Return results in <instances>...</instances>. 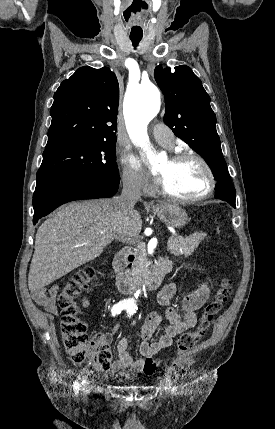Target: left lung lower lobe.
Instances as JSON below:
<instances>
[{
  "instance_id": "left-lung-lower-lobe-1",
  "label": "left lung lower lobe",
  "mask_w": 275,
  "mask_h": 429,
  "mask_svg": "<svg viewBox=\"0 0 275 429\" xmlns=\"http://www.w3.org/2000/svg\"><path fill=\"white\" fill-rule=\"evenodd\" d=\"M215 198L227 201V198L222 196L221 194H216ZM228 202V201H227ZM231 204V203H230ZM233 207H235V204H231Z\"/></svg>"
}]
</instances>
